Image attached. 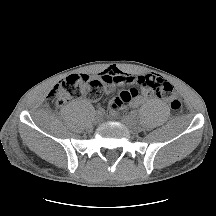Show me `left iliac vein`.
Returning a JSON list of instances; mask_svg holds the SVG:
<instances>
[{"instance_id":"left-iliac-vein-1","label":"left iliac vein","mask_w":216,"mask_h":216,"mask_svg":"<svg viewBox=\"0 0 216 216\" xmlns=\"http://www.w3.org/2000/svg\"><path fill=\"white\" fill-rule=\"evenodd\" d=\"M123 124L130 130H135L137 126V121L134 116L127 115L122 118Z\"/></svg>"}]
</instances>
